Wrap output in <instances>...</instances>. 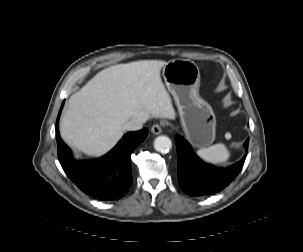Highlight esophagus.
<instances>
[{"instance_id": "esophagus-1", "label": "esophagus", "mask_w": 303, "mask_h": 252, "mask_svg": "<svg viewBox=\"0 0 303 252\" xmlns=\"http://www.w3.org/2000/svg\"><path fill=\"white\" fill-rule=\"evenodd\" d=\"M151 132L155 135H158L162 132V126L160 124H154L151 127Z\"/></svg>"}]
</instances>
